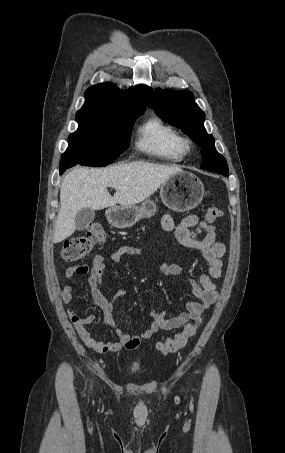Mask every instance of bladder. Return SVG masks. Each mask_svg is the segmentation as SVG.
<instances>
[{"label":"bladder","mask_w":285,"mask_h":453,"mask_svg":"<svg viewBox=\"0 0 285 453\" xmlns=\"http://www.w3.org/2000/svg\"><path fill=\"white\" fill-rule=\"evenodd\" d=\"M131 370L134 371V372H135V371H138V370H139V365H138V364H133V365L131 366Z\"/></svg>","instance_id":"bladder-1"}]
</instances>
